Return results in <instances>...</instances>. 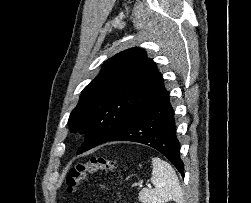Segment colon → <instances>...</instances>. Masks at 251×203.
Instances as JSON below:
<instances>
[{"label": "colon", "mask_w": 251, "mask_h": 203, "mask_svg": "<svg viewBox=\"0 0 251 203\" xmlns=\"http://www.w3.org/2000/svg\"><path fill=\"white\" fill-rule=\"evenodd\" d=\"M116 162L104 157H92L87 161L77 162L72 166L66 178V190L73 193L79 189L81 182L88 175L99 171L115 172ZM104 189V186H101Z\"/></svg>", "instance_id": "obj_1"}]
</instances>
